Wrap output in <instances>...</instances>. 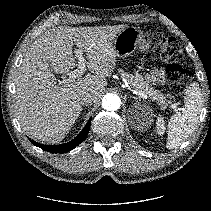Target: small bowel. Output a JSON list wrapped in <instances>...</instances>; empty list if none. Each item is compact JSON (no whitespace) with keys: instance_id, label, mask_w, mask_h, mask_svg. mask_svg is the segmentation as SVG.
Instances as JSON below:
<instances>
[{"instance_id":"obj_1","label":"small bowel","mask_w":211,"mask_h":211,"mask_svg":"<svg viewBox=\"0 0 211 211\" xmlns=\"http://www.w3.org/2000/svg\"><path fill=\"white\" fill-rule=\"evenodd\" d=\"M149 80L152 82V83H162L163 80H164V77H163V73L161 71H153L150 76H149Z\"/></svg>"}]
</instances>
